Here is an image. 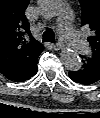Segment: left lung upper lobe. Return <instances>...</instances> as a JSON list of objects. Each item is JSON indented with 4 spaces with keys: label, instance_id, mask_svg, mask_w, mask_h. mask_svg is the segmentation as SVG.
<instances>
[{
    "label": "left lung upper lobe",
    "instance_id": "1",
    "mask_svg": "<svg viewBox=\"0 0 100 118\" xmlns=\"http://www.w3.org/2000/svg\"><path fill=\"white\" fill-rule=\"evenodd\" d=\"M82 7V25L88 26L93 32L88 41L92 48L89 57L100 64V0H80Z\"/></svg>",
    "mask_w": 100,
    "mask_h": 118
}]
</instances>
